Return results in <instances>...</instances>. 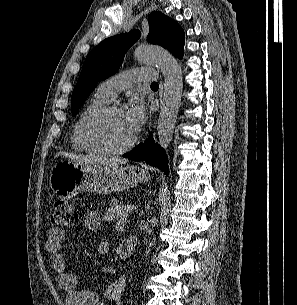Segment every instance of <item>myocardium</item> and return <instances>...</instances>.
Here are the masks:
<instances>
[{"mask_svg": "<svg viewBox=\"0 0 297 305\" xmlns=\"http://www.w3.org/2000/svg\"><path fill=\"white\" fill-rule=\"evenodd\" d=\"M123 111L122 108L115 104H108L91 112L81 124V136L85 143L95 149L97 152L106 155H120L131 150L137 143L138 137L135 136L125 145L118 148H110L105 146L92 132V127L100 119L114 113Z\"/></svg>", "mask_w": 297, "mask_h": 305, "instance_id": "f54148a6", "label": "myocardium"}]
</instances>
